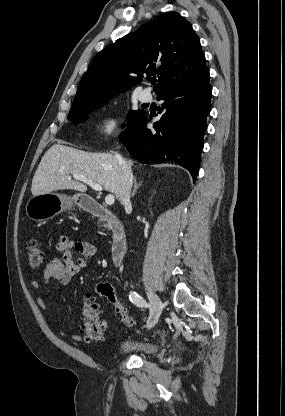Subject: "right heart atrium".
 <instances>
[{"label":"right heart atrium","instance_id":"right-heart-atrium-1","mask_svg":"<svg viewBox=\"0 0 285 416\" xmlns=\"http://www.w3.org/2000/svg\"><path fill=\"white\" fill-rule=\"evenodd\" d=\"M118 125L117 115L108 111L100 116L96 135L101 141L107 140L116 130Z\"/></svg>","mask_w":285,"mask_h":416}]
</instances>
